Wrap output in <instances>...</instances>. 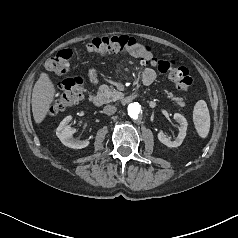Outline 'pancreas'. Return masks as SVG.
I'll return each mask as SVG.
<instances>
[{"label": "pancreas", "mask_w": 238, "mask_h": 238, "mask_svg": "<svg viewBox=\"0 0 238 238\" xmlns=\"http://www.w3.org/2000/svg\"><path fill=\"white\" fill-rule=\"evenodd\" d=\"M99 93L107 97L108 101H114V102L124 97V93L116 90L112 86H108L105 84L99 87ZM165 94L167 95V98L171 99L176 105H179L181 107L184 106L183 98L175 97L172 92H168V91H166Z\"/></svg>", "instance_id": "obj_1"}]
</instances>
